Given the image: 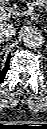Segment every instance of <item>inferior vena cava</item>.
<instances>
[{
	"label": "inferior vena cava",
	"mask_w": 47,
	"mask_h": 129,
	"mask_svg": "<svg viewBox=\"0 0 47 129\" xmlns=\"http://www.w3.org/2000/svg\"><path fill=\"white\" fill-rule=\"evenodd\" d=\"M16 33V28L13 24L9 23H2L0 25V38L9 39L10 37L14 36Z\"/></svg>",
	"instance_id": "inferior-vena-cava-1"
}]
</instances>
